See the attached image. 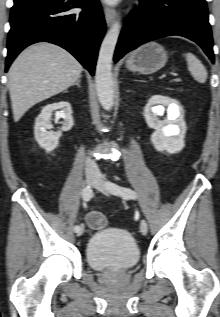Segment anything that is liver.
Segmentation results:
<instances>
[{
  "instance_id": "6515ba94",
  "label": "liver",
  "mask_w": 220,
  "mask_h": 317,
  "mask_svg": "<svg viewBox=\"0 0 220 317\" xmlns=\"http://www.w3.org/2000/svg\"><path fill=\"white\" fill-rule=\"evenodd\" d=\"M82 70L77 59L52 43H36L26 48L8 72L14 121L18 122L33 105L69 88Z\"/></svg>"
}]
</instances>
